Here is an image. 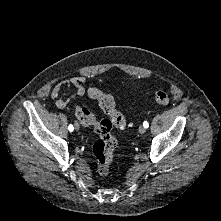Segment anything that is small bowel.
<instances>
[{"label":"small bowel","mask_w":221,"mask_h":221,"mask_svg":"<svg viewBox=\"0 0 221 221\" xmlns=\"http://www.w3.org/2000/svg\"><path fill=\"white\" fill-rule=\"evenodd\" d=\"M87 82V77L85 76H75L71 77L67 80H64L60 84H58L52 91L51 97L53 99L58 98L63 87H73L75 89V93L68 98H59L56 100V105L58 107H63L67 104V102L74 98L83 96L86 93V89L84 87V83ZM89 92V90H88Z\"/></svg>","instance_id":"obj_1"}]
</instances>
